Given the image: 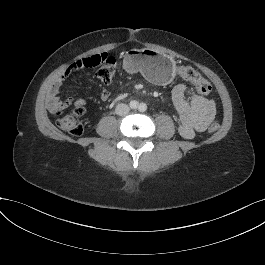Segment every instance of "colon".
I'll return each mask as SVG.
<instances>
[{"instance_id": "5ec220e1", "label": "colon", "mask_w": 265, "mask_h": 265, "mask_svg": "<svg viewBox=\"0 0 265 265\" xmlns=\"http://www.w3.org/2000/svg\"><path fill=\"white\" fill-rule=\"evenodd\" d=\"M98 66V78L105 84L109 83L114 77L116 71V59L114 56H110L107 53L95 54L90 57L80 59L70 65L66 72H75L84 68H92ZM177 74L183 79L193 83L198 93L204 95L208 94L211 91L210 82L194 68L189 66H179L177 68ZM84 112L85 109L83 106L76 107L66 113L59 110L56 112L57 123L60 128L67 131L71 135L79 136L83 132V127L79 122V119L84 114ZM219 127V123L213 121L208 126V131L210 133H213L217 131Z\"/></svg>"}]
</instances>
